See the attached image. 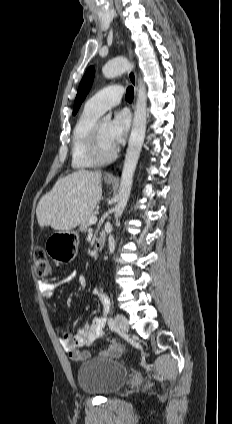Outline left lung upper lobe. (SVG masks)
<instances>
[{
    "instance_id": "obj_1",
    "label": "left lung upper lobe",
    "mask_w": 232,
    "mask_h": 424,
    "mask_svg": "<svg viewBox=\"0 0 232 424\" xmlns=\"http://www.w3.org/2000/svg\"><path fill=\"white\" fill-rule=\"evenodd\" d=\"M94 67L91 66L87 69L85 75L83 76L78 91H77V95L75 98V103H74V109H73V114L75 115L81 105V103L83 102L84 98L86 97L87 93L89 92L93 79H94Z\"/></svg>"
}]
</instances>
